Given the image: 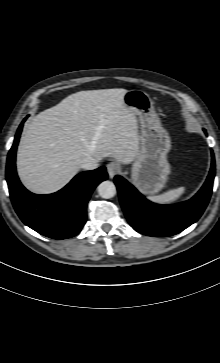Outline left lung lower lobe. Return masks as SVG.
Returning <instances> with one entry per match:
<instances>
[{"mask_svg":"<svg viewBox=\"0 0 220 363\" xmlns=\"http://www.w3.org/2000/svg\"><path fill=\"white\" fill-rule=\"evenodd\" d=\"M214 176L215 159L212 152L211 170L203 187L189 201L173 206L149 202L120 176H116L114 182L130 225L144 235L167 237L183 231L200 218L209 202Z\"/></svg>","mask_w":220,"mask_h":363,"instance_id":"obj_1","label":"left lung lower lobe"}]
</instances>
